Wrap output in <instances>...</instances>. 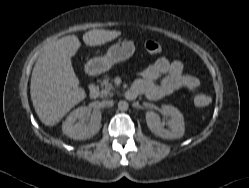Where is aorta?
I'll list each match as a JSON object with an SVG mask.
<instances>
[{
    "mask_svg": "<svg viewBox=\"0 0 249 188\" xmlns=\"http://www.w3.org/2000/svg\"><path fill=\"white\" fill-rule=\"evenodd\" d=\"M128 108H129V105H128L127 101H119L118 102V109L120 111H126V110H128Z\"/></svg>",
    "mask_w": 249,
    "mask_h": 188,
    "instance_id": "762f6f07",
    "label": "aorta"
}]
</instances>
